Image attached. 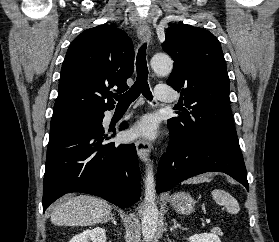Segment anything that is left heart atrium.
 Returning a JSON list of instances; mask_svg holds the SVG:
<instances>
[{
	"instance_id": "obj_1",
	"label": "left heart atrium",
	"mask_w": 279,
	"mask_h": 242,
	"mask_svg": "<svg viewBox=\"0 0 279 242\" xmlns=\"http://www.w3.org/2000/svg\"><path fill=\"white\" fill-rule=\"evenodd\" d=\"M131 138H153L155 136V124L149 117L140 119L130 130Z\"/></svg>"
}]
</instances>
